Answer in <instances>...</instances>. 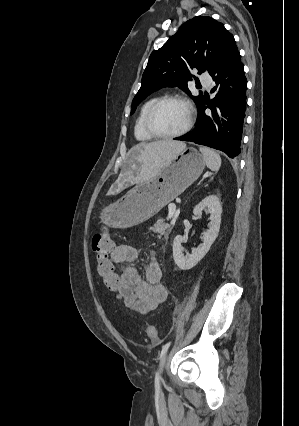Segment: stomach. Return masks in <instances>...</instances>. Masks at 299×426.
Returning a JSON list of instances; mask_svg holds the SVG:
<instances>
[{"mask_svg": "<svg viewBox=\"0 0 299 426\" xmlns=\"http://www.w3.org/2000/svg\"><path fill=\"white\" fill-rule=\"evenodd\" d=\"M204 167V156L195 148H185L155 178L137 184L105 207L101 222L112 228H128L148 220L196 181Z\"/></svg>", "mask_w": 299, "mask_h": 426, "instance_id": "1", "label": "stomach"}]
</instances>
